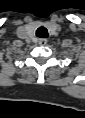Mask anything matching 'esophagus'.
Wrapping results in <instances>:
<instances>
[{
    "label": "esophagus",
    "instance_id": "esophagus-1",
    "mask_svg": "<svg viewBox=\"0 0 85 118\" xmlns=\"http://www.w3.org/2000/svg\"><path fill=\"white\" fill-rule=\"evenodd\" d=\"M38 43H39V45L44 46V45L47 44V39H44V38L43 39H39Z\"/></svg>",
    "mask_w": 85,
    "mask_h": 118
}]
</instances>
